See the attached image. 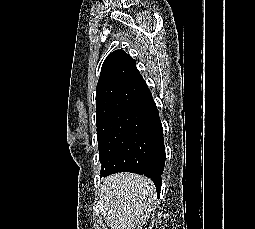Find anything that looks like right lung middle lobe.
Wrapping results in <instances>:
<instances>
[{"mask_svg":"<svg viewBox=\"0 0 255 229\" xmlns=\"http://www.w3.org/2000/svg\"><path fill=\"white\" fill-rule=\"evenodd\" d=\"M155 139L154 130L125 113L107 120L97 128L101 176L142 166Z\"/></svg>","mask_w":255,"mask_h":229,"instance_id":"right-lung-middle-lobe-1","label":"right lung middle lobe"}]
</instances>
